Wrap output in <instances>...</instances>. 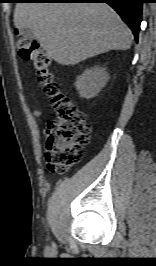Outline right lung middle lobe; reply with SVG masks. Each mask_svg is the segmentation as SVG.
Returning <instances> with one entry per match:
<instances>
[{
  "label": "right lung middle lobe",
  "instance_id": "dd1d6c3e",
  "mask_svg": "<svg viewBox=\"0 0 156 266\" xmlns=\"http://www.w3.org/2000/svg\"><path fill=\"white\" fill-rule=\"evenodd\" d=\"M11 2L14 3V2H24V1L14 0V1H11Z\"/></svg>",
  "mask_w": 156,
  "mask_h": 266
}]
</instances>
